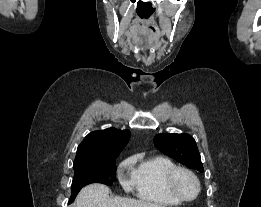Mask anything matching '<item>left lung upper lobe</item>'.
<instances>
[{"mask_svg": "<svg viewBox=\"0 0 261 207\" xmlns=\"http://www.w3.org/2000/svg\"><path fill=\"white\" fill-rule=\"evenodd\" d=\"M154 144L161 152L187 167L204 171L196 142L189 134H158L154 137Z\"/></svg>", "mask_w": 261, "mask_h": 207, "instance_id": "obj_1", "label": "left lung upper lobe"}]
</instances>
